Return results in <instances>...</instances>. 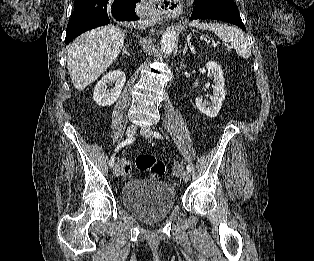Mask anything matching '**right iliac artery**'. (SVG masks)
<instances>
[{"mask_svg":"<svg viewBox=\"0 0 314 261\" xmlns=\"http://www.w3.org/2000/svg\"><path fill=\"white\" fill-rule=\"evenodd\" d=\"M134 141V138L133 137H130V138H127L126 140H124L123 142H121L115 149V152L118 151L120 148L128 145V144H131L132 142ZM114 156H115V153L112 155L111 159H110V166L113 167L114 166Z\"/></svg>","mask_w":314,"mask_h":261,"instance_id":"82829eb1","label":"right iliac artery"}]
</instances>
